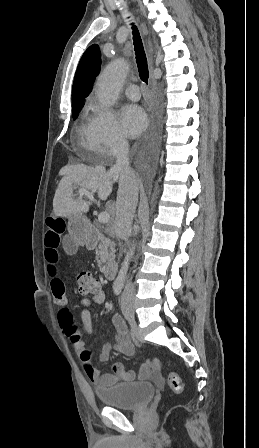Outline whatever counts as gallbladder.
Wrapping results in <instances>:
<instances>
[{
    "mask_svg": "<svg viewBox=\"0 0 259 448\" xmlns=\"http://www.w3.org/2000/svg\"><path fill=\"white\" fill-rule=\"evenodd\" d=\"M63 248H64L66 254H69V256H72V254H76V252L78 250V244H76V242H74V240H72V238H69V236H67V238H64V240H63Z\"/></svg>",
    "mask_w": 259,
    "mask_h": 448,
    "instance_id": "1",
    "label": "gallbladder"
}]
</instances>
